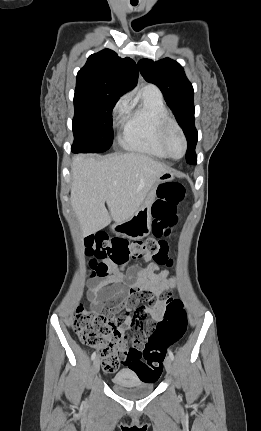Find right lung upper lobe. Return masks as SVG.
Here are the masks:
<instances>
[{"mask_svg": "<svg viewBox=\"0 0 261 431\" xmlns=\"http://www.w3.org/2000/svg\"><path fill=\"white\" fill-rule=\"evenodd\" d=\"M136 63L120 58L114 51L104 49L89 56L85 66L77 73L78 86H89L122 96L137 84Z\"/></svg>", "mask_w": 261, "mask_h": 431, "instance_id": "cb5924a9", "label": "right lung upper lobe"}]
</instances>
